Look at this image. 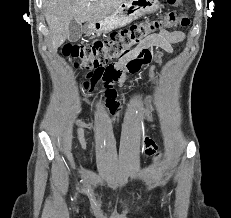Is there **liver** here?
Here are the masks:
<instances>
[{
    "label": "liver",
    "instance_id": "obj_1",
    "mask_svg": "<svg viewBox=\"0 0 231 218\" xmlns=\"http://www.w3.org/2000/svg\"><path fill=\"white\" fill-rule=\"evenodd\" d=\"M124 2L125 0H43L54 52L69 38L71 20L84 23L104 19Z\"/></svg>",
    "mask_w": 231,
    "mask_h": 218
}]
</instances>
